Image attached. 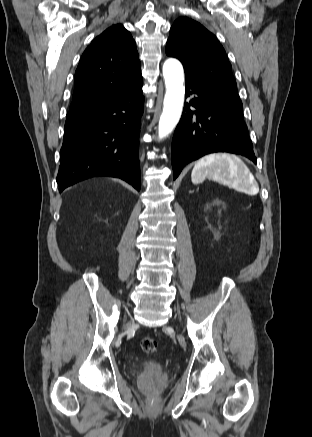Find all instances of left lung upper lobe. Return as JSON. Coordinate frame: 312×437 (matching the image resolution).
Returning a JSON list of instances; mask_svg holds the SVG:
<instances>
[{
    "label": "left lung upper lobe",
    "mask_w": 312,
    "mask_h": 437,
    "mask_svg": "<svg viewBox=\"0 0 312 437\" xmlns=\"http://www.w3.org/2000/svg\"><path fill=\"white\" fill-rule=\"evenodd\" d=\"M166 53L182 62L186 79L223 97L243 114V105L225 50L201 24L187 17L177 19L170 29Z\"/></svg>",
    "instance_id": "left-lung-upper-lobe-1"
}]
</instances>
